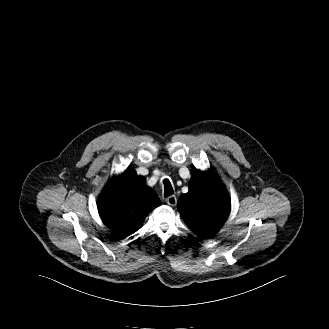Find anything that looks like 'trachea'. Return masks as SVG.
<instances>
[{
	"mask_svg": "<svg viewBox=\"0 0 329 329\" xmlns=\"http://www.w3.org/2000/svg\"><path fill=\"white\" fill-rule=\"evenodd\" d=\"M163 184H164V196L168 197L171 194H173V188H172L170 181L168 179H165L163 181Z\"/></svg>",
	"mask_w": 329,
	"mask_h": 329,
	"instance_id": "obj_1",
	"label": "trachea"
}]
</instances>
